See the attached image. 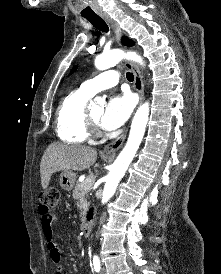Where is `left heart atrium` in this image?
Instances as JSON below:
<instances>
[{"mask_svg": "<svg viewBox=\"0 0 221 274\" xmlns=\"http://www.w3.org/2000/svg\"><path fill=\"white\" fill-rule=\"evenodd\" d=\"M133 106L134 101L129 94L112 97L101 116V125L107 130L120 127L130 116Z\"/></svg>", "mask_w": 221, "mask_h": 274, "instance_id": "obj_1", "label": "left heart atrium"}]
</instances>
